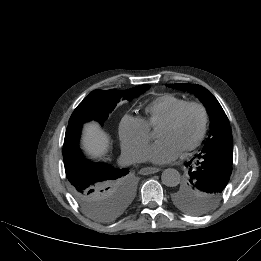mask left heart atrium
<instances>
[{
	"instance_id": "1",
	"label": "left heart atrium",
	"mask_w": 261,
	"mask_h": 261,
	"mask_svg": "<svg viewBox=\"0 0 261 261\" xmlns=\"http://www.w3.org/2000/svg\"><path fill=\"white\" fill-rule=\"evenodd\" d=\"M180 150L170 140H159L146 152L145 157L152 163L165 164L175 160Z\"/></svg>"
}]
</instances>
